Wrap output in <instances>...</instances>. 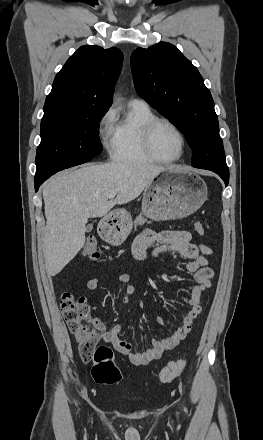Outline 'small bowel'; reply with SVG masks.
I'll return each instance as SVG.
<instances>
[{
  "label": "small bowel",
  "instance_id": "small-bowel-1",
  "mask_svg": "<svg viewBox=\"0 0 263 440\" xmlns=\"http://www.w3.org/2000/svg\"><path fill=\"white\" fill-rule=\"evenodd\" d=\"M152 247V255L159 257L166 252H175L181 257L188 259L185 268L194 274L195 285L192 287L190 297L185 302L190 307L183 318L182 324L165 338H154L151 346L143 352L134 351L132 345L120 338L121 326L115 325L107 329L105 323L99 318L93 319V325L97 329L101 339L111 344L120 354L126 356L134 365H147L151 361L159 358L164 351L173 349L190 332L196 317L201 313V303L203 293L210 288L214 277L213 270L209 267L206 256L213 253L212 249L196 242L187 231H162L145 230L139 234L132 244V255L136 260H144ZM117 282L124 287L123 301H127L129 296L136 292L135 286L131 283L130 276L122 273L117 277ZM99 277H91L86 282V287L90 291H95L100 287ZM158 323L163 324L162 318H158Z\"/></svg>",
  "mask_w": 263,
  "mask_h": 440
}]
</instances>
